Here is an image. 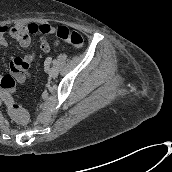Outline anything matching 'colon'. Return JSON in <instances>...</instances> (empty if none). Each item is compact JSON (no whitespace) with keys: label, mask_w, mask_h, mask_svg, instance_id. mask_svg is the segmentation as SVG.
Wrapping results in <instances>:
<instances>
[{"label":"colon","mask_w":172,"mask_h":172,"mask_svg":"<svg viewBox=\"0 0 172 172\" xmlns=\"http://www.w3.org/2000/svg\"><path fill=\"white\" fill-rule=\"evenodd\" d=\"M37 30L46 31L45 28H38L36 26H29L28 30L24 32V37L32 35ZM56 36L75 46L81 47L84 43V39L80 33L74 30H70L65 26H59L55 30ZM11 73L4 75L0 78V97L7 107L9 115L18 123L26 124L28 120V113L18 105L13 98L15 93V71L11 68Z\"/></svg>","instance_id":"colon-1"}]
</instances>
